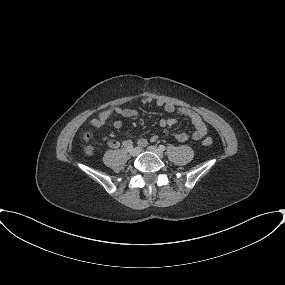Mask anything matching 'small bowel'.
<instances>
[{"instance_id": "c3829d8e", "label": "small bowel", "mask_w": 285, "mask_h": 285, "mask_svg": "<svg viewBox=\"0 0 285 285\" xmlns=\"http://www.w3.org/2000/svg\"><path fill=\"white\" fill-rule=\"evenodd\" d=\"M151 102H155V104L159 107H162L164 109V111L167 114H178L180 116H184L187 117L192 125L194 126V131L191 135H189L188 133L185 132H177L174 134V138L179 141V142H185L187 141L189 138L198 141L203 139L206 134H207V126L205 124V122L203 121V119L201 118V116L188 108L185 107H178L175 106L171 103L165 102L161 99H153L151 97H143L141 99V103L142 104H147V103H151ZM114 112L122 117H126V118H130V117H134L138 114V112L135 109L132 108H123V107H115L114 108ZM108 121V114L106 112H101L98 117L93 118L90 122H89V126L93 129H99L102 126H104ZM176 119L174 118H163L160 120L159 125L160 127L164 128V129H170L173 125L176 124ZM111 125L115 128V129H120L122 127V122L120 120H115L111 123ZM158 139V135H152L150 137V141L154 142ZM132 141L131 140H124L122 143H120L118 140H110L108 142L109 146L112 148H118L120 147V145H124L127 146L128 144H131ZM137 145L141 148H145L148 145V140L145 138H139L137 140Z\"/></svg>"}]
</instances>
